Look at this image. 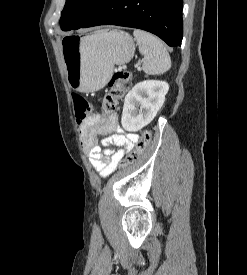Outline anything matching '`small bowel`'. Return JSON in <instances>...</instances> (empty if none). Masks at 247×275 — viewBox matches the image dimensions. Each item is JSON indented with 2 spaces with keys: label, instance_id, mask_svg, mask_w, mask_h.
I'll list each match as a JSON object with an SVG mask.
<instances>
[{
  "label": "small bowel",
  "instance_id": "small-bowel-1",
  "mask_svg": "<svg viewBox=\"0 0 247 275\" xmlns=\"http://www.w3.org/2000/svg\"><path fill=\"white\" fill-rule=\"evenodd\" d=\"M99 135L104 136L101 145L97 141ZM81 138L91 165L103 178L115 170L139 140L136 133L124 132L115 113L107 117L100 113L90 115L81 127Z\"/></svg>",
  "mask_w": 247,
  "mask_h": 275
}]
</instances>
